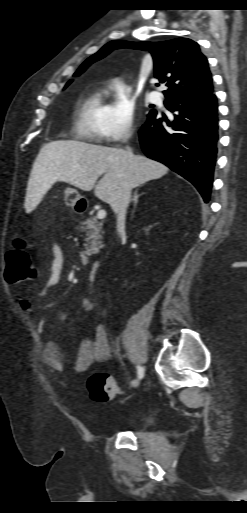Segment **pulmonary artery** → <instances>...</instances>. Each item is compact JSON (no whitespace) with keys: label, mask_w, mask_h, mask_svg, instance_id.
I'll list each match as a JSON object with an SVG mask.
<instances>
[{"label":"pulmonary artery","mask_w":247,"mask_h":513,"mask_svg":"<svg viewBox=\"0 0 247 513\" xmlns=\"http://www.w3.org/2000/svg\"><path fill=\"white\" fill-rule=\"evenodd\" d=\"M151 102H158L160 100V95L157 92H152L149 97Z\"/></svg>","instance_id":"1"}]
</instances>
